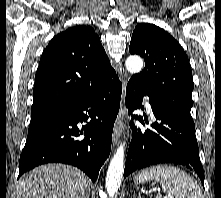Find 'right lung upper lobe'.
I'll use <instances>...</instances> for the list:
<instances>
[{"mask_svg":"<svg viewBox=\"0 0 221 198\" xmlns=\"http://www.w3.org/2000/svg\"><path fill=\"white\" fill-rule=\"evenodd\" d=\"M117 79L93 28L82 25L59 33L40 59L31 123L81 102Z\"/></svg>","mask_w":221,"mask_h":198,"instance_id":"right-lung-upper-lobe-1","label":"right lung upper lobe"}]
</instances>
